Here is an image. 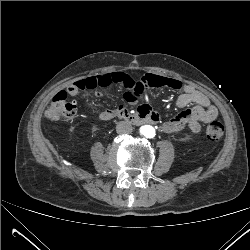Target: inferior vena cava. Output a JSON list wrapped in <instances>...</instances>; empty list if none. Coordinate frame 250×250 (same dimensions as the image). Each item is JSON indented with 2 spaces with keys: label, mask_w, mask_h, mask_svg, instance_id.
Listing matches in <instances>:
<instances>
[{
  "label": "inferior vena cava",
  "mask_w": 250,
  "mask_h": 250,
  "mask_svg": "<svg viewBox=\"0 0 250 250\" xmlns=\"http://www.w3.org/2000/svg\"><path fill=\"white\" fill-rule=\"evenodd\" d=\"M116 131L118 134H130L133 128L129 122L121 121L117 124Z\"/></svg>",
  "instance_id": "602c4592"
}]
</instances>
